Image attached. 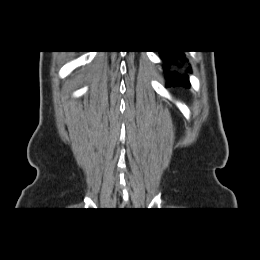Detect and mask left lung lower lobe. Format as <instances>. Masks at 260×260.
<instances>
[{
    "mask_svg": "<svg viewBox=\"0 0 260 260\" xmlns=\"http://www.w3.org/2000/svg\"><path fill=\"white\" fill-rule=\"evenodd\" d=\"M161 54V57L164 59V61L168 64H177L179 60L185 61L186 57L181 54L182 51H159ZM167 74V86H175V85H181L185 87H189V78L186 75H181L177 72H169L166 71Z\"/></svg>",
    "mask_w": 260,
    "mask_h": 260,
    "instance_id": "0a47b994",
    "label": "left lung lower lobe"
}]
</instances>
